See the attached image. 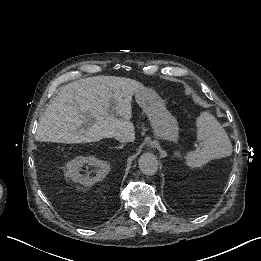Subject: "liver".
Returning <instances> with one entry per match:
<instances>
[{"instance_id": "obj_1", "label": "liver", "mask_w": 261, "mask_h": 261, "mask_svg": "<svg viewBox=\"0 0 261 261\" xmlns=\"http://www.w3.org/2000/svg\"><path fill=\"white\" fill-rule=\"evenodd\" d=\"M142 89L136 80L115 76L88 77L62 86L39 119L36 140L70 144L125 137L133 142L132 96ZM111 105L121 118L109 115ZM85 122L92 125L84 127Z\"/></svg>"}]
</instances>
